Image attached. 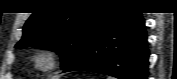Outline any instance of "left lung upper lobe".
I'll use <instances>...</instances> for the list:
<instances>
[{"label":"left lung upper lobe","mask_w":177,"mask_h":79,"mask_svg":"<svg viewBox=\"0 0 177 79\" xmlns=\"http://www.w3.org/2000/svg\"><path fill=\"white\" fill-rule=\"evenodd\" d=\"M91 2L88 11H44L33 13L23 28L16 48L36 47L57 52L62 69L78 54L90 33L110 7Z\"/></svg>","instance_id":"obj_1"}]
</instances>
